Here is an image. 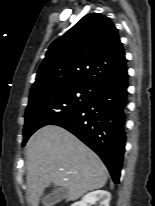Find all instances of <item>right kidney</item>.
Returning a JSON list of instances; mask_svg holds the SVG:
<instances>
[{"mask_svg":"<svg viewBox=\"0 0 155 206\" xmlns=\"http://www.w3.org/2000/svg\"><path fill=\"white\" fill-rule=\"evenodd\" d=\"M111 195L108 191L97 190L86 194L80 201L71 206H109Z\"/></svg>","mask_w":155,"mask_h":206,"instance_id":"obj_1","label":"right kidney"}]
</instances>
